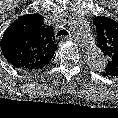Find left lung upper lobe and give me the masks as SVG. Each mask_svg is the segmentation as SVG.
Segmentation results:
<instances>
[{
  "label": "left lung upper lobe",
  "instance_id": "1",
  "mask_svg": "<svg viewBox=\"0 0 118 118\" xmlns=\"http://www.w3.org/2000/svg\"><path fill=\"white\" fill-rule=\"evenodd\" d=\"M97 30V46L106 56L107 63L102 74L118 76V23L108 17L93 18Z\"/></svg>",
  "mask_w": 118,
  "mask_h": 118
}]
</instances>
